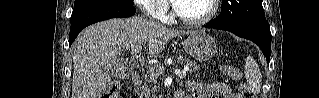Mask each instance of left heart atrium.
Masks as SVG:
<instances>
[{"instance_id": "left-heart-atrium-1", "label": "left heart atrium", "mask_w": 319, "mask_h": 98, "mask_svg": "<svg viewBox=\"0 0 319 98\" xmlns=\"http://www.w3.org/2000/svg\"><path fill=\"white\" fill-rule=\"evenodd\" d=\"M180 1H182V0L174 1V3H175L176 5H178V3H179Z\"/></svg>"}]
</instances>
